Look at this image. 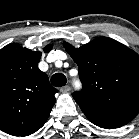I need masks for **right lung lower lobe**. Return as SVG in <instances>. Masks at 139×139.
Returning <instances> with one entry per match:
<instances>
[{"label":"right lung lower lobe","mask_w":139,"mask_h":139,"mask_svg":"<svg viewBox=\"0 0 139 139\" xmlns=\"http://www.w3.org/2000/svg\"><path fill=\"white\" fill-rule=\"evenodd\" d=\"M43 125H44V124H42L40 127L36 128V129H34V130H32V131L26 133L24 136H27V135H30V134L36 132V131H37L39 128H41Z\"/></svg>","instance_id":"obj_1"}]
</instances>
